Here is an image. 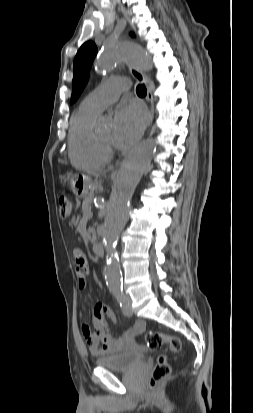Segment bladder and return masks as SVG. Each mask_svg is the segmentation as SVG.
<instances>
[{
  "mask_svg": "<svg viewBox=\"0 0 253 413\" xmlns=\"http://www.w3.org/2000/svg\"><path fill=\"white\" fill-rule=\"evenodd\" d=\"M144 358L145 353L141 348H133L99 357L96 359V364L112 370L128 371L140 365L144 361Z\"/></svg>",
  "mask_w": 253,
  "mask_h": 413,
  "instance_id": "31cf9c89",
  "label": "bladder"
}]
</instances>
